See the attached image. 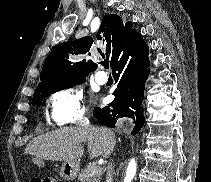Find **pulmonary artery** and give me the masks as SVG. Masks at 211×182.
<instances>
[{"instance_id": "e3ab8cb5", "label": "pulmonary artery", "mask_w": 211, "mask_h": 182, "mask_svg": "<svg viewBox=\"0 0 211 182\" xmlns=\"http://www.w3.org/2000/svg\"><path fill=\"white\" fill-rule=\"evenodd\" d=\"M95 80L98 84H101V85L106 83V81H107L106 73L103 72V71L97 72L96 75H95Z\"/></svg>"}]
</instances>
